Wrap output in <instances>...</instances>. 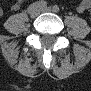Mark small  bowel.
<instances>
[{
  "label": "small bowel",
  "mask_w": 91,
  "mask_h": 91,
  "mask_svg": "<svg viewBox=\"0 0 91 91\" xmlns=\"http://www.w3.org/2000/svg\"><path fill=\"white\" fill-rule=\"evenodd\" d=\"M20 4L19 3H16L13 5V9L14 10H17L19 8ZM91 6V2L89 0H83L82 2H80V4L78 5L77 7V10L79 12H84L86 10H88Z\"/></svg>",
  "instance_id": "1"
}]
</instances>
